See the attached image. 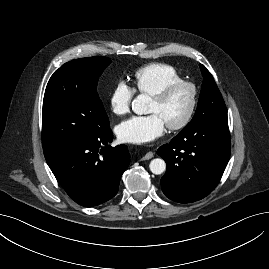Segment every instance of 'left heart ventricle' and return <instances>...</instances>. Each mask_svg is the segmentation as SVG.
Wrapping results in <instances>:
<instances>
[{
	"mask_svg": "<svg viewBox=\"0 0 269 269\" xmlns=\"http://www.w3.org/2000/svg\"><path fill=\"white\" fill-rule=\"evenodd\" d=\"M190 100V89L187 87H180L165 101L160 102L151 98L148 112L157 113L167 125L179 121L185 115Z\"/></svg>",
	"mask_w": 269,
	"mask_h": 269,
	"instance_id": "b2bd125f",
	"label": "left heart ventricle"
}]
</instances>
